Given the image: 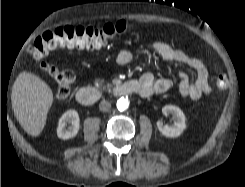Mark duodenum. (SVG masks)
Returning <instances> with one entry per match:
<instances>
[{"label":"duodenum","mask_w":245,"mask_h":187,"mask_svg":"<svg viewBox=\"0 0 245 187\" xmlns=\"http://www.w3.org/2000/svg\"><path fill=\"white\" fill-rule=\"evenodd\" d=\"M142 91L141 83L135 79L120 82L111 88V93L114 96L141 95ZM101 95L98 88L86 86L77 90L76 99L81 104L90 105L97 102Z\"/></svg>","instance_id":"obj_1"}]
</instances>
